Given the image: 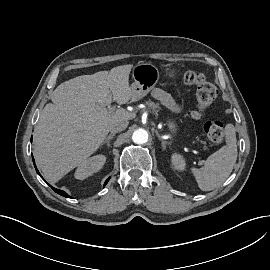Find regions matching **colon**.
Here are the masks:
<instances>
[{
  "label": "colon",
  "instance_id": "1",
  "mask_svg": "<svg viewBox=\"0 0 270 270\" xmlns=\"http://www.w3.org/2000/svg\"><path fill=\"white\" fill-rule=\"evenodd\" d=\"M183 82L186 86L195 88L196 108L192 112V117L194 119H199L207 107L217 97V89L210 81H208L205 75L194 71L186 72L183 76ZM203 129L211 142H222L224 137L222 122L218 120H208L204 122Z\"/></svg>",
  "mask_w": 270,
  "mask_h": 270
}]
</instances>
